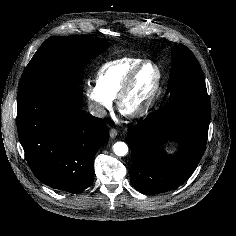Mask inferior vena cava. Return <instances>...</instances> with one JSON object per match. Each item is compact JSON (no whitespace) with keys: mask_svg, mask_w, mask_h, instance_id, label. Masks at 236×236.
<instances>
[{"mask_svg":"<svg viewBox=\"0 0 236 236\" xmlns=\"http://www.w3.org/2000/svg\"><path fill=\"white\" fill-rule=\"evenodd\" d=\"M88 110L92 116L103 118L106 116L107 112L100 104L96 102L88 103Z\"/></svg>","mask_w":236,"mask_h":236,"instance_id":"1","label":"inferior vena cava"}]
</instances>
